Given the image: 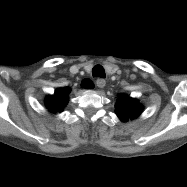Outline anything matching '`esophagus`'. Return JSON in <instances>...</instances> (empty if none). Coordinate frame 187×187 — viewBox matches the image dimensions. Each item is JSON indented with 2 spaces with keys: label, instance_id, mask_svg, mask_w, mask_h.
I'll return each mask as SVG.
<instances>
[{
  "label": "esophagus",
  "instance_id": "1",
  "mask_svg": "<svg viewBox=\"0 0 187 187\" xmlns=\"http://www.w3.org/2000/svg\"><path fill=\"white\" fill-rule=\"evenodd\" d=\"M106 85V81L103 78H98L96 80V86L99 88H103Z\"/></svg>",
  "mask_w": 187,
  "mask_h": 187
}]
</instances>
